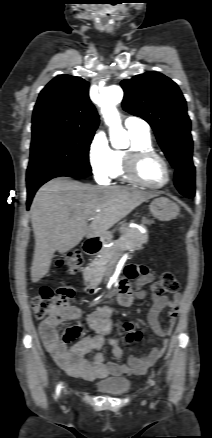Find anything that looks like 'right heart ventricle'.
<instances>
[{"label":"right heart ventricle","instance_id":"obj_1","mask_svg":"<svg viewBox=\"0 0 212 438\" xmlns=\"http://www.w3.org/2000/svg\"><path fill=\"white\" fill-rule=\"evenodd\" d=\"M130 137V147L128 150H114L112 151L113 167L111 170L110 177L117 178L122 181H130L124 172V161L126 154L132 149H153L152 139L149 134H139L134 132H129Z\"/></svg>","mask_w":212,"mask_h":438}]
</instances>
